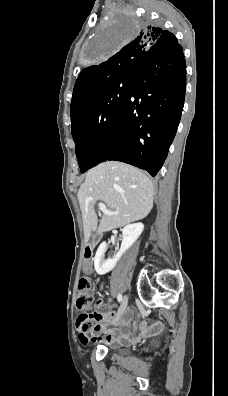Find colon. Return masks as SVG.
I'll return each mask as SVG.
<instances>
[{
  "mask_svg": "<svg viewBox=\"0 0 228 396\" xmlns=\"http://www.w3.org/2000/svg\"><path fill=\"white\" fill-rule=\"evenodd\" d=\"M93 296H92V284L90 280L83 277L78 283V294L76 305L82 312L77 319L79 329L83 333H88L94 327V320L96 319L97 313L91 311Z\"/></svg>",
  "mask_w": 228,
  "mask_h": 396,
  "instance_id": "1",
  "label": "colon"
}]
</instances>
